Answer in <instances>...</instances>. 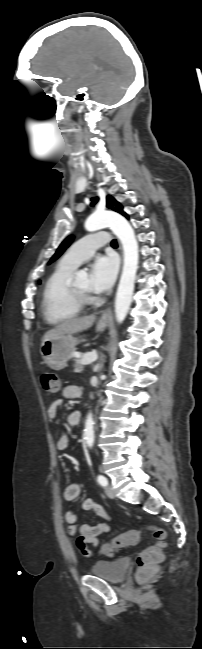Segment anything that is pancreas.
<instances>
[{
  "instance_id": "obj_1",
  "label": "pancreas",
  "mask_w": 202,
  "mask_h": 649,
  "mask_svg": "<svg viewBox=\"0 0 202 649\" xmlns=\"http://www.w3.org/2000/svg\"><path fill=\"white\" fill-rule=\"evenodd\" d=\"M84 370V365L82 364V359L76 360L74 365V372L81 373Z\"/></svg>"
}]
</instances>
